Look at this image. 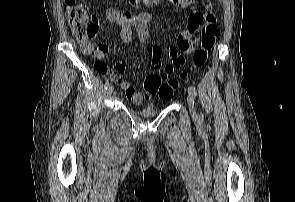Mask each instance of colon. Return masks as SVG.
Segmentation results:
<instances>
[{
  "mask_svg": "<svg viewBox=\"0 0 295 202\" xmlns=\"http://www.w3.org/2000/svg\"><path fill=\"white\" fill-rule=\"evenodd\" d=\"M137 4L139 0H131ZM148 5H154L156 0H145ZM66 16L74 37L82 46L91 44V40L96 36L98 26L92 15H89L88 9L84 4L77 0H66ZM219 30L215 23L210 22L203 28L200 38V47L195 51L193 56V67L203 66L208 58V52L215 45ZM182 58H179V62ZM181 79H186L187 74L182 73ZM145 90H152L162 99H170L179 86L176 78H169L163 74H151L147 79H143Z\"/></svg>",
  "mask_w": 295,
  "mask_h": 202,
  "instance_id": "1",
  "label": "colon"
}]
</instances>
